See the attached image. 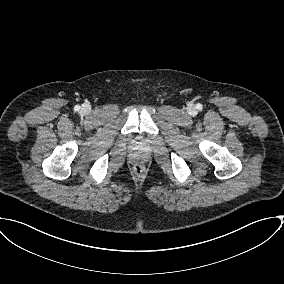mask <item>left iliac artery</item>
Returning a JSON list of instances; mask_svg holds the SVG:
<instances>
[{
    "label": "left iliac artery",
    "mask_w": 284,
    "mask_h": 284,
    "mask_svg": "<svg viewBox=\"0 0 284 284\" xmlns=\"http://www.w3.org/2000/svg\"><path fill=\"white\" fill-rule=\"evenodd\" d=\"M202 106L200 104L197 105V109H201Z\"/></svg>",
    "instance_id": "left-iliac-artery-1"
}]
</instances>
